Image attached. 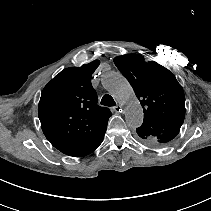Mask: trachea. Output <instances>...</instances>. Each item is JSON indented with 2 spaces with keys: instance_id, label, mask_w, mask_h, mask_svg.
<instances>
[{
  "instance_id": "3493384b",
  "label": "trachea",
  "mask_w": 211,
  "mask_h": 211,
  "mask_svg": "<svg viewBox=\"0 0 211 211\" xmlns=\"http://www.w3.org/2000/svg\"><path fill=\"white\" fill-rule=\"evenodd\" d=\"M100 103H101L102 105L108 106V107H110V106H115V105H116V103H115L113 97H112L111 95H108V94H107V95H104V96L102 97Z\"/></svg>"
}]
</instances>
